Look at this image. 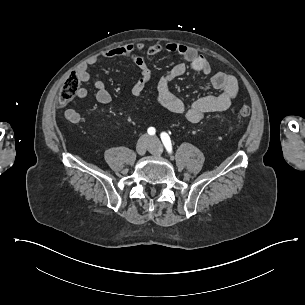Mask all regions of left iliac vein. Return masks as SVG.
Wrapping results in <instances>:
<instances>
[{
  "instance_id": "obj_1",
  "label": "left iliac vein",
  "mask_w": 305,
  "mask_h": 305,
  "mask_svg": "<svg viewBox=\"0 0 305 305\" xmlns=\"http://www.w3.org/2000/svg\"><path fill=\"white\" fill-rule=\"evenodd\" d=\"M151 141L154 144V148L151 149L152 154L160 155L162 153V146L160 144V141L155 136L151 138Z\"/></svg>"
}]
</instances>
